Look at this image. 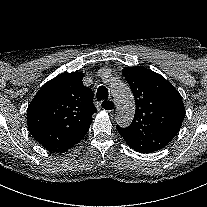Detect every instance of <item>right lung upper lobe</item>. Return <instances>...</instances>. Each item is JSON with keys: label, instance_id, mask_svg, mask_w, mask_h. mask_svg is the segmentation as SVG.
I'll use <instances>...</instances> for the list:
<instances>
[{"label": "right lung upper lobe", "instance_id": "cb5924a9", "mask_svg": "<svg viewBox=\"0 0 207 207\" xmlns=\"http://www.w3.org/2000/svg\"><path fill=\"white\" fill-rule=\"evenodd\" d=\"M83 77L82 72L58 75L40 88L28 106L29 131L49 151L66 152L89 130L97 109Z\"/></svg>", "mask_w": 207, "mask_h": 207}]
</instances>
